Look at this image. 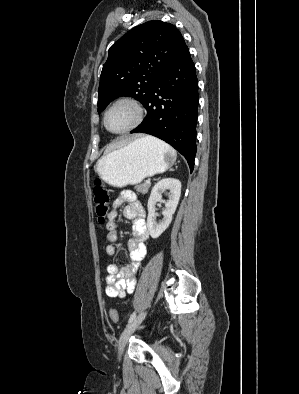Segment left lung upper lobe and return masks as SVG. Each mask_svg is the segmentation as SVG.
I'll return each instance as SVG.
<instances>
[{"label":"left lung upper lobe","mask_w":299,"mask_h":394,"mask_svg":"<svg viewBox=\"0 0 299 394\" xmlns=\"http://www.w3.org/2000/svg\"><path fill=\"white\" fill-rule=\"evenodd\" d=\"M186 47L180 31L159 20L141 24L109 49L98 89V112L115 98L131 96L143 105L162 72Z\"/></svg>","instance_id":"obj_1"}]
</instances>
